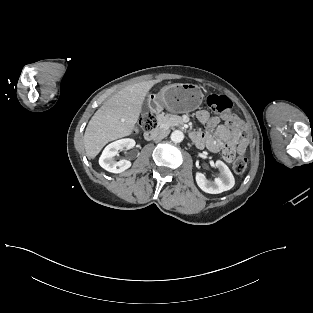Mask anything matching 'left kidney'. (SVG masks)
I'll return each mask as SVG.
<instances>
[{
	"mask_svg": "<svg viewBox=\"0 0 313 313\" xmlns=\"http://www.w3.org/2000/svg\"><path fill=\"white\" fill-rule=\"evenodd\" d=\"M215 166L220 170V176L213 181L208 180L201 172L196 173L197 185L206 193L219 194L230 190L235 184L234 176L224 162L218 160Z\"/></svg>",
	"mask_w": 313,
	"mask_h": 313,
	"instance_id": "5707ae66",
	"label": "left kidney"
}]
</instances>
